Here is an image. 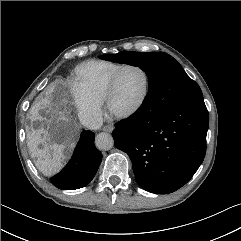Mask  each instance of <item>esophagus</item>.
<instances>
[{
	"label": "esophagus",
	"instance_id": "esophagus-1",
	"mask_svg": "<svg viewBox=\"0 0 241 241\" xmlns=\"http://www.w3.org/2000/svg\"><path fill=\"white\" fill-rule=\"evenodd\" d=\"M113 129H114L113 125H106V126L103 127L102 130L105 131V132H112Z\"/></svg>",
	"mask_w": 241,
	"mask_h": 241
}]
</instances>
